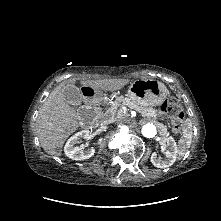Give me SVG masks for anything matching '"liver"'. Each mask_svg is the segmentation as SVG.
<instances>
[{"instance_id": "liver-1", "label": "liver", "mask_w": 221, "mask_h": 221, "mask_svg": "<svg viewBox=\"0 0 221 221\" xmlns=\"http://www.w3.org/2000/svg\"><path fill=\"white\" fill-rule=\"evenodd\" d=\"M129 79H103L83 81L84 86L122 89ZM73 85L61 83L43 103L36 120V131L44 151L50 155L60 156L65 140L79 127L80 116L69 106L63 97L66 87Z\"/></svg>"}]
</instances>
